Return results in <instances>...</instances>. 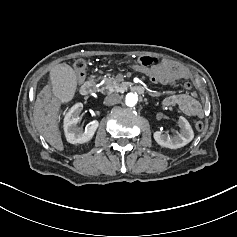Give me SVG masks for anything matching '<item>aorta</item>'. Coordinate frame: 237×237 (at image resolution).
Here are the masks:
<instances>
[{"mask_svg":"<svg viewBox=\"0 0 237 237\" xmlns=\"http://www.w3.org/2000/svg\"><path fill=\"white\" fill-rule=\"evenodd\" d=\"M138 98L136 95L129 93L126 95L125 104L128 107H134L137 104Z\"/></svg>","mask_w":237,"mask_h":237,"instance_id":"762f6f07","label":"aorta"}]
</instances>
